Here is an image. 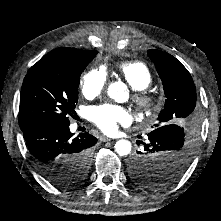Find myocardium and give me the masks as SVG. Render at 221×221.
Instances as JSON below:
<instances>
[{
	"mask_svg": "<svg viewBox=\"0 0 221 221\" xmlns=\"http://www.w3.org/2000/svg\"><path fill=\"white\" fill-rule=\"evenodd\" d=\"M133 102L137 110L150 117L158 110V96L148 89L136 90L133 94Z\"/></svg>",
	"mask_w": 221,
	"mask_h": 221,
	"instance_id": "obj_1",
	"label": "myocardium"
}]
</instances>
